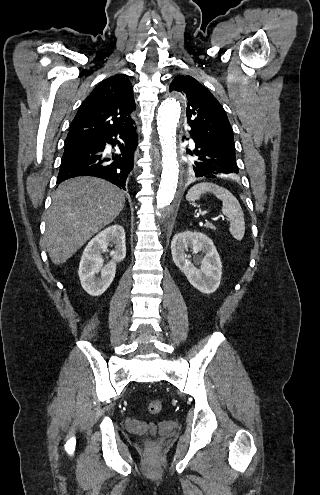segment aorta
I'll use <instances>...</instances> for the list:
<instances>
[{
    "label": "aorta",
    "instance_id": "obj_1",
    "mask_svg": "<svg viewBox=\"0 0 320 495\" xmlns=\"http://www.w3.org/2000/svg\"><path fill=\"white\" fill-rule=\"evenodd\" d=\"M184 97L173 92L161 104L157 113V130L162 150V174L157 197L150 209V226L158 232L165 217L173 215L176 209L174 196L178 186L179 166L176 151V128L179 122Z\"/></svg>",
    "mask_w": 320,
    "mask_h": 495
}]
</instances>
